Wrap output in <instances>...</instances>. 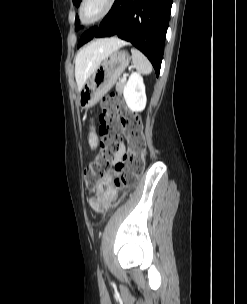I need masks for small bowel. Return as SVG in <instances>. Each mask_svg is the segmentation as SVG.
I'll list each match as a JSON object with an SVG mask.
<instances>
[{
	"instance_id": "1",
	"label": "small bowel",
	"mask_w": 247,
	"mask_h": 304,
	"mask_svg": "<svg viewBox=\"0 0 247 304\" xmlns=\"http://www.w3.org/2000/svg\"><path fill=\"white\" fill-rule=\"evenodd\" d=\"M88 140H89V146H90L91 150L95 151L98 148L99 140H98V136L94 130H92L90 132ZM125 153H126L125 146L121 145L115 155V158H114L115 162L118 163L119 161H121V159Z\"/></svg>"
}]
</instances>
